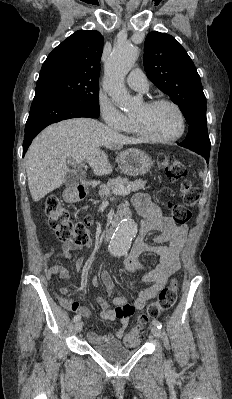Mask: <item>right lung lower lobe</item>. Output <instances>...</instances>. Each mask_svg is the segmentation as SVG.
<instances>
[{"label": "right lung lower lobe", "mask_w": 232, "mask_h": 399, "mask_svg": "<svg viewBox=\"0 0 232 399\" xmlns=\"http://www.w3.org/2000/svg\"><path fill=\"white\" fill-rule=\"evenodd\" d=\"M100 112H94L56 92L38 90L35 92L28 120L25 125L23 156L36 135L46 126L61 120L89 117L98 118Z\"/></svg>", "instance_id": "right-lung-lower-lobe-1"}]
</instances>
